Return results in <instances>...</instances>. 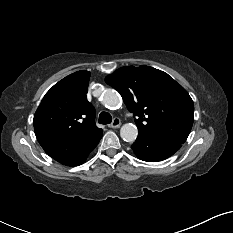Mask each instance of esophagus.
I'll return each instance as SVG.
<instances>
[{
	"mask_svg": "<svg viewBox=\"0 0 233 233\" xmlns=\"http://www.w3.org/2000/svg\"><path fill=\"white\" fill-rule=\"evenodd\" d=\"M121 125V120L119 118H114L112 123L108 125L109 128H118Z\"/></svg>",
	"mask_w": 233,
	"mask_h": 233,
	"instance_id": "esophagus-1",
	"label": "esophagus"
}]
</instances>
